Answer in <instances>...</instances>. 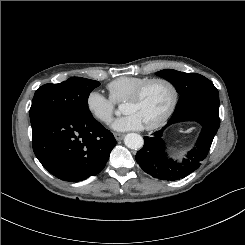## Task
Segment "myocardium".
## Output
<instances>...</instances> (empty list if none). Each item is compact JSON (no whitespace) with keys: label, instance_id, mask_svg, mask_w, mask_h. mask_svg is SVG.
Wrapping results in <instances>:
<instances>
[{"label":"myocardium","instance_id":"obj_1","mask_svg":"<svg viewBox=\"0 0 245 245\" xmlns=\"http://www.w3.org/2000/svg\"><path fill=\"white\" fill-rule=\"evenodd\" d=\"M153 83H162V84L168 86L169 89L171 90V93H172V100H171L170 106H169L168 110L166 111V113L156 122L149 124V125H146L145 126L146 130H155V129L161 127L162 125H164L169 120V118L173 115V113H174V111L178 105V101H179V91H178L177 86L172 81H170L169 79L158 77V78L148 79L145 82H143L141 85H139L126 98V102L138 101L142 97L145 89Z\"/></svg>","mask_w":245,"mask_h":245}]
</instances>
